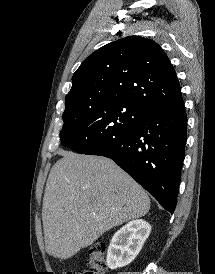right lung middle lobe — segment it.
<instances>
[{
    "instance_id": "right-lung-middle-lobe-1",
    "label": "right lung middle lobe",
    "mask_w": 215,
    "mask_h": 274,
    "mask_svg": "<svg viewBox=\"0 0 215 274\" xmlns=\"http://www.w3.org/2000/svg\"><path fill=\"white\" fill-rule=\"evenodd\" d=\"M145 110L127 102H66L61 143L79 153L109 144L132 130Z\"/></svg>"
}]
</instances>
